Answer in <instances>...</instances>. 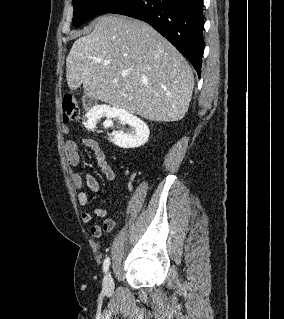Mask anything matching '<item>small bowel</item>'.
Wrapping results in <instances>:
<instances>
[{
  "label": "small bowel",
  "instance_id": "obj_1",
  "mask_svg": "<svg viewBox=\"0 0 284 319\" xmlns=\"http://www.w3.org/2000/svg\"><path fill=\"white\" fill-rule=\"evenodd\" d=\"M71 132L72 129L70 126L65 125L63 127V133L65 135H69ZM83 144L92 151L97 167L101 173L109 181L115 180V172L107 162L106 154L101 145L92 138H84ZM64 149L68 164L71 167H78L81 163V158L77 143L74 140H66ZM70 174L79 204L81 206L87 205L89 202V192L95 193L100 188L98 180L93 175L82 174L77 169H72ZM118 215L119 213L115 217H107V211L105 209L95 208L92 213L83 211L81 213V220L84 224H91L90 233L93 237L100 238L103 233H110L114 230ZM95 216L104 218L102 225L93 223Z\"/></svg>",
  "mask_w": 284,
  "mask_h": 319
}]
</instances>
